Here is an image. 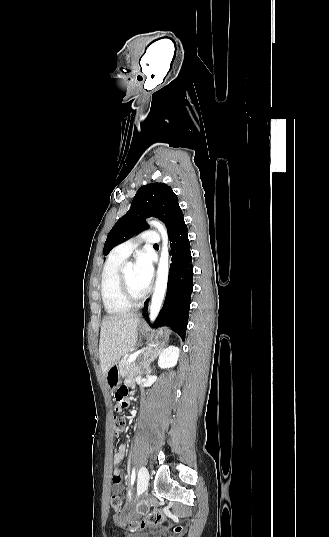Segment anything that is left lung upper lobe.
Wrapping results in <instances>:
<instances>
[{
	"label": "left lung upper lobe",
	"mask_w": 329,
	"mask_h": 537,
	"mask_svg": "<svg viewBox=\"0 0 329 537\" xmlns=\"http://www.w3.org/2000/svg\"><path fill=\"white\" fill-rule=\"evenodd\" d=\"M156 217L165 223L169 238L184 223L178 198L170 186L164 183H151L137 191L130 210L113 226L104 244L103 254L148 228L145 219Z\"/></svg>",
	"instance_id": "1"
}]
</instances>
